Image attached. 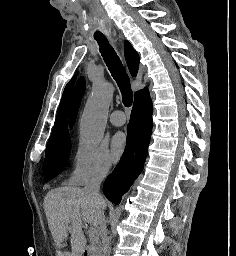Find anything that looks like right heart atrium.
I'll use <instances>...</instances> for the list:
<instances>
[{"instance_id": "right-heart-atrium-1", "label": "right heart atrium", "mask_w": 236, "mask_h": 256, "mask_svg": "<svg viewBox=\"0 0 236 256\" xmlns=\"http://www.w3.org/2000/svg\"><path fill=\"white\" fill-rule=\"evenodd\" d=\"M112 162L104 147L87 149L79 144L72 156L68 183L84 186L104 180L110 173Z\"/></svg>"}]
</instances>
